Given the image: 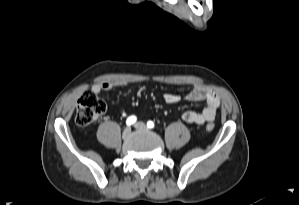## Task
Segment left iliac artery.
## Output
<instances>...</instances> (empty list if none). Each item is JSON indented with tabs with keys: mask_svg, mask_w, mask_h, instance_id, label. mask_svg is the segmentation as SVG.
Wrapping results in <instances>:
<instances>
[{
	"mask_svg": "<svg viewBox=\"0 0 299 205\" xmlns=\"http://www.w3.org/2000/svg\"><path fill=\"white\" fill-rule=\"evenodd\" d=\"M155 124L152 121L147 122V127L148 128H154Z\"/></svg>",
	"mask_w": 299,
	"mask_h": 205,
	"instance_id": "44dca946",
	"label": "left iliac artery"
}]
</instances>
